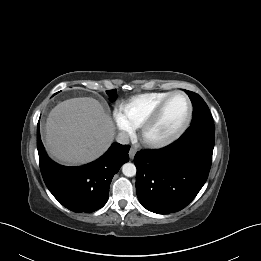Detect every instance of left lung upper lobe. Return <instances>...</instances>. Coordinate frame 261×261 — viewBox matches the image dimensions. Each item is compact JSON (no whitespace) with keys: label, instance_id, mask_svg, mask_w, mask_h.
<instances>
[{"label":"left lung upper lobe","instance_id":"5c2ea615","mask_svg":"<svg viewBox=\"0 0 261 261\" xmlns=\"http://www.w3.org/2000/svg\"><path fill=\"white\" fill-rule=\"evenodd\" d=\"M191 99L193 105V119L191 126L214 127L213 119L205 101L198 94L184 90Z\"/></svg>","mask_w":261,"mask_h":261}]
</instances>
